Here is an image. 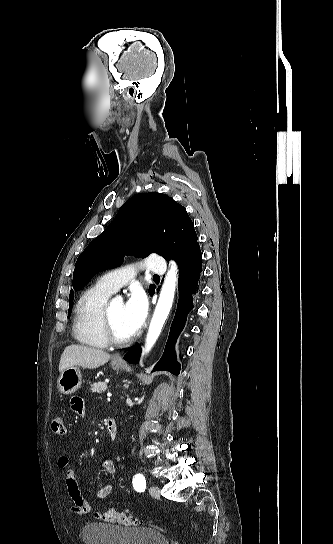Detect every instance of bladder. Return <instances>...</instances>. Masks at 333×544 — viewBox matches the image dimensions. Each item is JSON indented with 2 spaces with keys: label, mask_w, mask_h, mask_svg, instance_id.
<instances>
[{
  "label": "bladder",
  "mask_w": 333,
  "mask_h": 544,
  "mask_svg": "<svg viewBox=\"0 0 333 544\" xmlns=\"http://www.w3.org/2000/svg\"><path fill=\"white\" fill-rule=\"evenodd\" d=\"M84 544H170L160 531L149 527H123L90 522L81 531Z\"/></svg>",
  "instance_id": "bladder-1"
}]
</instances>
